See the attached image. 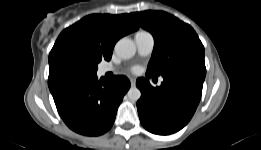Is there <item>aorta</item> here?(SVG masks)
Returning a JSON list of instances; mask_svg holds the SVG:
<instances>
[{
  "label": "aorta",
  "instance_id": "1",
  "mask_svg": "<svg viewBox=\"0 0 261 150\" xmlns=\"http://www.w3.org/2000/svg\"><path fill=\"white\" fill-rule=\"evenodd\" d=\"M115 52L122 59H130L135 55L136 46L131 39L122 38L116 43ZM127 96L131 101H137L141 97V92L137 87H131Z\"/></svg>",
  "mask_w": 261,
  "mask_h": 150
}]
</instances>
